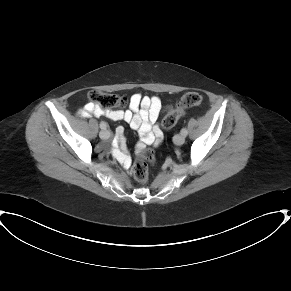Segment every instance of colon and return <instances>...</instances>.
Wrapping results in <instances>:
<instances>
[{
  "instance_id": "5ec220e1",
  "label": "colon",
  "mask_w": 291,
  "mask_h": 291,
  "mask_svg": "<svg viewBox=\"0 0 291 291\" xmlns=\"http://www.w3.org/2000/svg\"><path fill=\"white\" fill-rule=\"evenodd\" d=\"M203 98L198 92H188L180 97L175 106H169L165 110L163 119V128L170 129L176 125L183 116V110L188 107L201 104ZM90 104L97 106L104 111L124 103V98L112 92L93 90L89 93ZM154 159V152L151 148H141L136 155L133 164V173L136 180L140 183H146L148 180V163Z\"/></svg>"
}]
</instances>
